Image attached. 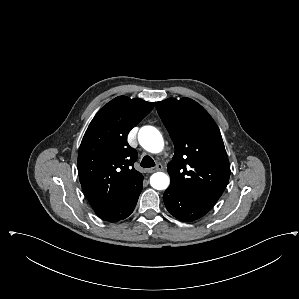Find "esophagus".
I'll list each match as a JSON object with an SVG mask.
<instances>
[{
    "instance_id": "esophagus-1",
    "label": "esophagus",
    "mask_w": 299,
    "mask_h": 299,
    "mask_svg": "<svg viewBox=\"0 0 299 299\" xmlns=\"http://www.w3.org/2000/svg\"><path fill=\"white\" fill-rule=\"evenodd\" d=\"M161 170H163V166H162V164H158L156 167H154V168H149V169H147V172L148 173H153V172H156V171H161Z\"/></svg>"
}]
</instances>
